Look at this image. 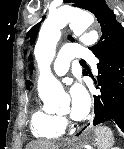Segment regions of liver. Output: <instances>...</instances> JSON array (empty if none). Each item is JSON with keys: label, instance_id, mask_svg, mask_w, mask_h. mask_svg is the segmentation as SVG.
<instances>
[{"label": "liver", "instance_id": "liver-1", "mask_svg": "<svg viewBox=\"0 0 124 149\" xmlns=\"http://www.w3.org/2000/svg\"><path fill=\"white\" fill-rule=\"evenodd\" d=\"M26 149H56V146L49 141H35L29 143Z\"/></svg>", "mask_w": 124, "mask_h": 149}]
</instances>
